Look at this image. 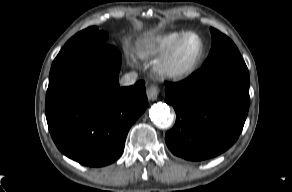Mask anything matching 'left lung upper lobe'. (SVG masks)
Listing matches in <instances>:
<instances>
[{
    "mask_svg": "<svg viewBox=\"0 0 292 192\" xmlns=\"http://www.w3.org/2000/svg\"><path fill=\"white\" fill-rule=\"evenodd\" d=\"M212 48L210 54L202 67H208L221 62H242L244 61L235 44L220 31L211 28Z\"/></svg>",
    "mask_w": 292,
    "mask_h": 192,
    "instance_id": "1",
    "label": "left lung upper lobe"
}]
</instances>
